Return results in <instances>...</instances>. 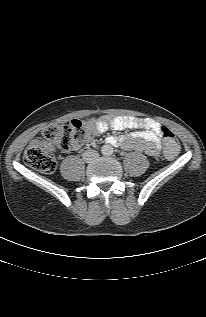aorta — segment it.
Returning a JSON list of instances; mask_svg holds the SVG:
<instances>
[{
    "label": "aorta",
    "instance_id": "aorta-1",
    "mask_svg": "<svg viewBox=\"0 0 206 317\" xmlns=\"http://www.w3.org/2000/svg\"><path fill=\"white\" fill-rule=\"evenodd\" d=\"M102 151L104 154H111L113 152V148L111 146L107 145V146H104Z\"/></svg>",
    "mask_w": 206,
    "mask_h": 317
}]
</instances>
